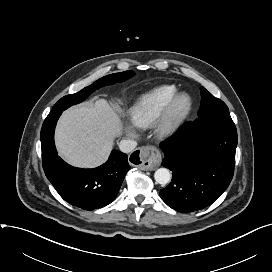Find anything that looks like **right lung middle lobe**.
I'll list each match as a JSON object with an SVG mask.
<instances>
[{
  "label": "right lung middle lobe",
  "mask_w": 272,
  "mask_h": 272,
  "mask_svg": "<svg viewBox=\"0 0 272 272\" xmlns=\"http://www.w3.org/2000/svg\"><path fill=\"white\" fill-rule=\"evenodd\" d=\"M134 74L135 73L133 71H124L122 73H114L104 76L101 79L97 80L93 85L85 87L84 89L75 94L64 96L63 98L58 100V102L51 110V113L63 111L74 104L84 101L95 90L100 89L101 87L106 85L125 81L134 76Z\"/></svg>",
  "instance_id": "dd1d6c3e"
}]
</instances>
